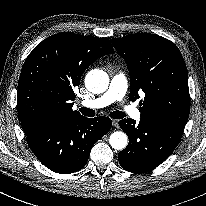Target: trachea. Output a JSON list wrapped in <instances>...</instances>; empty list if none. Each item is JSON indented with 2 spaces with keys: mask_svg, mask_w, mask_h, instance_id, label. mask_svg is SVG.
Listing matches in <instances>:
<instances>
[{
  "mask_svg": "<svg viewBox=\"0 0 206 206\" xmlns=\"http://www.w3.org/2000/svg\"><path fill=\"white\" fill-rule=\"evenodd\" d=\"M80 111L83 115L88 116V117H93L95 116V111L89 108H80ZM109 116L113 119H122L125 117V113L122 111H113L109 114Z\"/></svg>",
  "mask_w": 206,
  "mask_h": 206,
  "instance_id": "3493384b",
  "label": "trachea"
}]
</instances>
